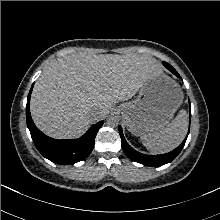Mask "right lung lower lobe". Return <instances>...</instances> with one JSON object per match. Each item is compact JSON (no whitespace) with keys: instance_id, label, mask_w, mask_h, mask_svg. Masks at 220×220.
Listing matches in <instances>:
<instances>
[{"instance_id":"1","label":"right lung lower lobe","mask_w":220,"mask_h":220,"mask_svg":"<svg viewBox=\"0 0 220 220\" xmlns=\"http://www.w3.org/2000/svg\"><path fill=\"white\" fill-rule=\"evenodd\" d=\"M33 85L27 98L26 119L36 148L43 157L62 165L74 164L87 158L93 150L96 134L103 125V121L93 125L81 138L76 140H56L46 136L37 129L30 115L29 103Z\"/></svg>"}]
</instances>
